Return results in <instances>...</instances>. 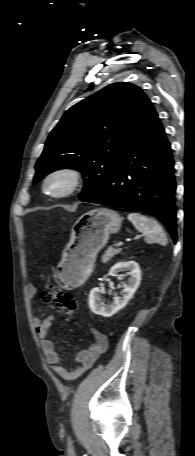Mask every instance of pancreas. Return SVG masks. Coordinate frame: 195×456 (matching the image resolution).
Wrapping results in <instances>:
<instances>
[{"instance_id":"pancreas-1","label":"pancreas","mask_w":195,"mask_h":456,"mask_svg":"<svg viewBox=\"0 0 195 456\" xmlns=\"http://www.w3.org/2000/svg\"><path fill=\"white\" fill-rule=\"evenodd\" d=\"M122 249L118 248V249H115L113 247H109L106 251H105V254L102 256V262L103 263H107L108 261H110L112 259V257H114L115 255H117L118 253L121 252Z\"/></svg>"}]
</instances>
